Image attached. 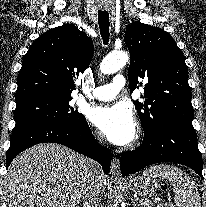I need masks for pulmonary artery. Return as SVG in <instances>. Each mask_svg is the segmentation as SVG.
Masks as SVG:
<instances>
[{"instance_id":"1","label":"pulmonary artery","mask_w":206,"mask_h":207,"mask_svg":"<svg viewBox=\"0 0 206 207\" xmlns=\"http://www.w3.org/2000/svg\"><path fill=\"white\" fill-rule=\"evenodd\" d=\"M125 85V77L117 74L112 78V82L94 88L90 92V97L97 100H109L114 98Z\"/></svg>"}]
</instances>
